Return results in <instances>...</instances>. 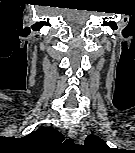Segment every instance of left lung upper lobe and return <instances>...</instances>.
Returning <instances> with one entry per match:
<instances>
[{
  "label": "left lung upper lobe",
  "mask_w": 135,
  "mask_h": 153,
  "mask_svg": "<svg viewBox=\"0 0 135 153\" xmlns=\"http://www.w3.org/2000/svg\"><path fill=\"white\" fill-rule=\"evenodd\" d=\"M86 147L91 148L96 151H105L108 150L109 147L106 145V143L95 135H90L86 138L85 144Z\"/></svg>",
  "instance_id": "obj_1"
}]
</instances>
